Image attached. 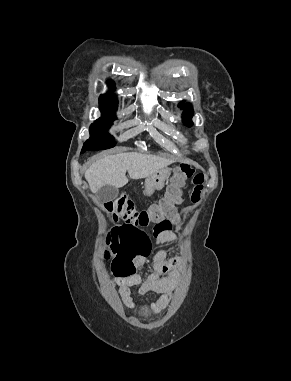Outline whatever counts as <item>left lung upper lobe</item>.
I'll use <instances>...</instances> for the list:
<instances>
[{
  "instance_id": "left-lung-upper-lobe-1",
  "label": "left lung upper lobe",
  "mask_w": 291,
  "mask_h": 381,
  "mask_svg": "<svg viewBox=\"0 0 291 381\" xmlns=\"http://www.w3.org/2000/svg\"><path fill=\"white\" fill-rule=\"evenodd\" d=\"M182 104L183 103H181L180 106H182ZM185 108H187V109L182 114L183 122L187 126H190L193 124L191 121V118L193 116V109H192V106L190 104L183 105L181 109H185Z\"/></svg>"
}]
</instances>
